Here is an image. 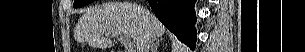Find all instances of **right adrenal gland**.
I'll return each instance as SVG.
<instances>
[{"instance_id": "1", "label": "right adrenal gland", "mask_w": 305, "mask_h": 52, "mask_svg": "<svg viewBox=\"0 0 305 52\" xmlns=\"http://www.w3.org/2000/svg\"><path fill=\"white\" fill-rule=\"evenodd\" d=\"M160 42H161V40H157L156 43H154L151 46V52H157L158 51V47H159Z\"/></svg>"}]
</instances>
